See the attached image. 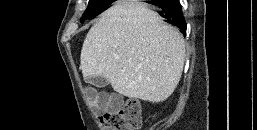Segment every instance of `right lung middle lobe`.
Wrapping results in <instances>:
<instances>
[{"mask_svg": "<svg viewBox=\"0 0 257 130\" xmlns=\"http://www.w3.org/2000/svg\"><path fill=\"white\" fill-rule=\"evenodd\" d=\"M112 2V0H90L88 3L87 10L81 18V22H83L86 19H92L100 12L105 10Z\"/></svg>", "mask_w": 257, "mask_h": 130, "instance_id": "obj_1", "label": "right lung middle lobe"}]
</instances>
